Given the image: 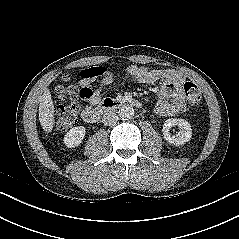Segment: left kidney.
Listing matches in <instances>:
<instances>
[{
	"label": "left kidney",
	"mask_w": 239,
	"mask_h": 239,
	"mask_svg": "<svg viewBox=\"0 0 239 239\" xmlns=\"http://www.w3.org/2000/svg\"><path fill=\"white\" fill-rule=\"evenodd\" d=\"M174 126H178L180 128V131L176 135H171L169 131L171 127ZM162 132L164 139L170 144L176 146L188 142L192 137V129L190 123L182 118L167 119L163 124Z\"/></svg>",
	"instance_id": "left-kidney-1"
}]
</instances>
